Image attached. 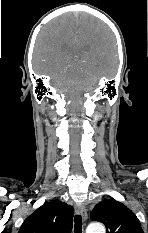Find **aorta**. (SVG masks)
<instances>
[{
  "label": "aorta",
  "instance_id": "1",
  "mask_svg": "<svg viewBox=\"0 0 148 233\" xmlns=\"http://www.w3.org/2000/svg\"><path fill=\"white\" fill-rule=\"evenodd\" d=\"M86 233H106V231L102 223L94 222L88 225Z\"/></svg>",
  "mask_w": 148,
  "mask_h": 233
}]
</instances>
